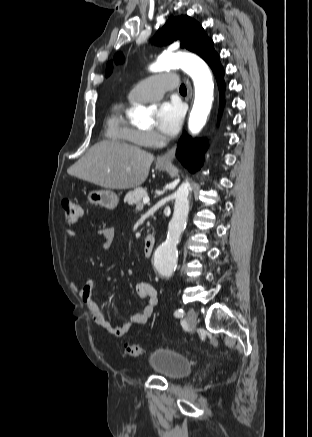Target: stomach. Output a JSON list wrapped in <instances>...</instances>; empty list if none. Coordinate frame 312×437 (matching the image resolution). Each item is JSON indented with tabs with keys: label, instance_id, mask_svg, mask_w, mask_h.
I'll return each mask as SVG.
<instances>
[{
	"label": "stomach",
	"instance_id": "stomach-1",
	"mask_svg": "<svg viewBox=\"0 0 312 437\" xmlns=\"http://www.w3.org/2000/svg\"><path fill=\"white\" fill-rule=\"evenodd\" d=\"M169 164H156L158 170L164 171ZM87 202L92 206H100L113 210L118 206L119 197L111 190H91L86 196Z\"/></svg>",
	"mask_w": 312,
	"mask_h": 437
}]
</instances>
